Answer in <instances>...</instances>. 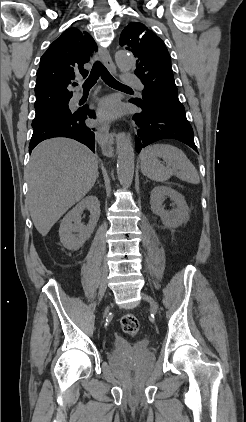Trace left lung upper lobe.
Masks as SVG:
<instances>
[{"label": "left lung upper lobe", "instance_id": "5c2ea615", "mask_svg": "<svg viewBox=\"0 0 246 422\" xmlns=\"http://www.w3.org/2000/svg\"><path fill=\"white\" fill-rule=\"evenodd\" d=\"M120 45L136 57V76L145 86L139 104L149 100L177 110H184L178 99L171 59L164 42L144 24L130 23L121 33Z\"/></svg>", "mask_w": 246, "mask_h": 422}]
</instances>
